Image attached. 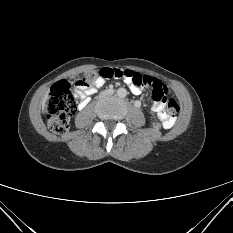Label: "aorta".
<instances>
[{"label":"aorta","instance_id":"762f6f07","mask_svg":"<svg viewBox=\"0 0 233 233\" xmlns=\"http://www.w3.org/2000/svg\"><path fill=\"white\" fill-rule=\"evenodd\" d=\"M117 95L119 97H125L127 95V90L125 88H119L117 90Z\"/></svg>","mask_w":233,"mask_h":233}]
</instances>
